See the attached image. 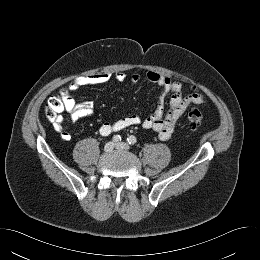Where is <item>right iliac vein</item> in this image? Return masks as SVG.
Here are the masks:
<instances>
[{"label":"right iliac vein","instance_id":"right-iliac-vein-1","mask_svg":"<svg viewBox=\"0 0 260 260\" xmlns=\"http://www.w3.org/2000/svg\"><path fill=\"white\" fill-rule=\"evenodd\" d=\"M114 147H115V144L110 141V142H107V143L105 144L104 150H105L106 152H110V151H112V150L114 149Z\"/></svg>","mask_w":260,"mask_h":260}]
</instances>
